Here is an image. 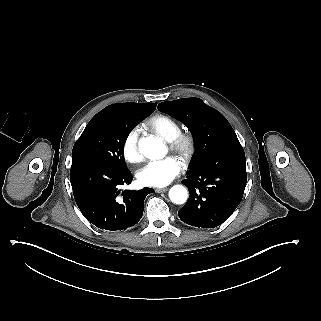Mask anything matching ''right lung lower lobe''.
<instances>
[{"label": "right lung lower lobe", "instance_id": "1", "mask_svg": "<svg viewBox=\"0 0 321 321\" xmlns=\"http://www.w3.org/2000/svg\"><path fill=\"white\" fill-rule=\"evenodd\" d=\"M131 172L93 163H74L70 170L73 195L81 213L96 227L116 231L129 228L141 219L145 197L151 188L140 191L119 187L130 184Z\"/></svg>", "mask_w": 321, "mask_h": 321}]
</instances>
